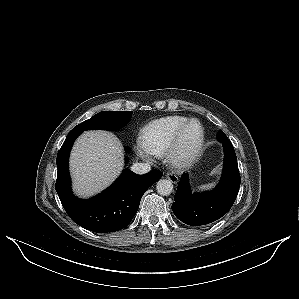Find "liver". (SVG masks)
Listing matches in <instances>:
<instances>
[{"instance_id": "obj_1", "label": "liver", "mask_w": 299, "mask_h": 299, "mask_svg": "<svg viewBox=\"0 0 299 299\" xmlns=\"http://www.w3.org/2000/svg\"><path fill=\"white\" fill-rule=\"evenodd\" d=\"M123 168V147L111 132L86 131L70 156L73 188L78 196H92L109 186Z\"/></svg>"}]
</instances>
